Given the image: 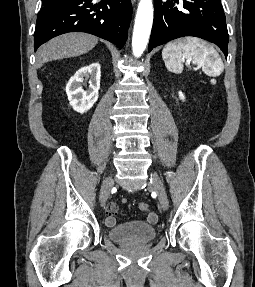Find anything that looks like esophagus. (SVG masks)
<instances>
[{"label":"esophagus","mask_w":255,"mask_h":287,"mask_svg":"<svg viewBox=\"0 0 255 287\" xmlns=\"http://www.w3.org/2000/svg\"><path fill=\"white\" fill-rule=\"evenodd\" d=\"M136 0H132V2L134 3Z\"/></svg>","instance_id":"esophagus-1"}]
</instances>
